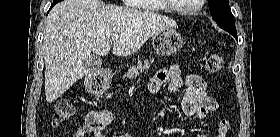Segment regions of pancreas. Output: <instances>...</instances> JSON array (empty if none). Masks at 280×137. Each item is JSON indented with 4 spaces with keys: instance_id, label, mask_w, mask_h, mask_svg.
<instances>
[{
    "instance_id": "1",
    "label": "pancreas",
    "mask_w": 280,
    "mask_h": 137,
    "mask_svg": "<svg viewBox=\"0 0 280 137\" xmlns=\"http://www.w3.org/2000/svg\"><path fill=\"white\" fill-rule=\"evenodd\" d=\"M154 62L152 60H145L143 62L139 61L137 66H133L129 69V71L124 75L126 79H135L137 76L141 75L142 72L149 70L150 64Z\"/></svg>"
}]
</instances>
